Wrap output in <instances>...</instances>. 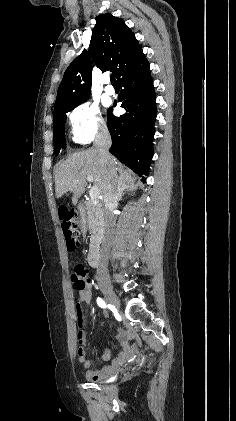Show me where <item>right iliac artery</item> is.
Masks as SVG:
<instances>
[{
    "label": "right iliac artery",
    "instance_id": "right-iliac-artery-1",
    "mask_svg": "<svg viewBox=\"0 0 236 421\" xmlns=\"http://www.w3.org/2000/svg\"><path fill=\"white\" fill-rule=\"evenodd\" d=\"M97 304L101 308H107V307L109 308L111 306L110 304L106 305V303L99 297L97 298Z\"/></svg>",
    "mask_w": 236,
    "mask_h": 421
}]
</instances>
